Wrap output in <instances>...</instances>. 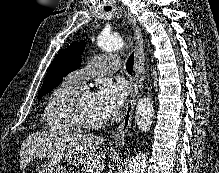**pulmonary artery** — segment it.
I'll list each match as a JSON object with an SVG mask.
<instances>
[{
	"mask_svg": "<svg viewBox=\"0 0 219 173\" xmlns=\"http://www.w3.org/2000/svg\"><path fill=\"white\" fill-rule=\"evenodd\" d=\"M120 63L121 60L116 56L98 55L93 57L85 67L71 72L67 79L82 87L89 77L117 70Z\"/></svg>",
	"mask_w": 219,
	"mask_h": 173,
	"instance_id": "e3ab8cb5",
	"label": "pulmonary artery"
}]
</instances>
